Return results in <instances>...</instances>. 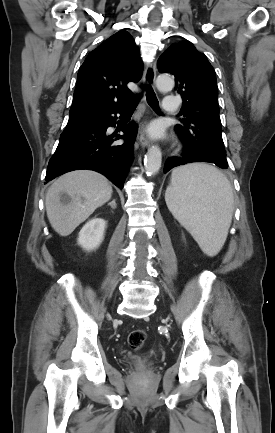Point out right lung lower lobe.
Listing matches in <instances>:
<instances>
[{"instance_id": "right-lung-lower-lobe-1", "label": "right lung lower lobe", "mask_w": 275, "mask_h": 433, "mask_svg": "<svg viewBox=\"0 0 275 433\" xmlns=\"http://www.w3.org/2000/svg\"><path fill=\"white\" fill-rule=\"evenodd\" d=\"M126 106L98 109L69 120L49 161L46 181L69 171L89 169L102 173L122 189L134 156L137 125L132 121L124 126V135H107L106 130L115 126L114 114L122 115ZM118 139L125 142L114 145Z\"/></svg>"}]
</instances>
